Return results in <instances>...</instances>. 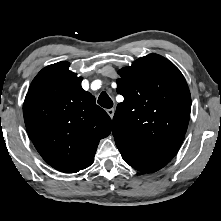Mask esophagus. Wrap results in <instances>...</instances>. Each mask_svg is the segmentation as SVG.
<instances>
[{"instance_id": "esophagus-1", "label": "esophagus", "mask_w": 221, "mask_h": 221, "mask_svg": "<svg viewBox=\"0 0 221 221\" xmlns=\"http://www.w3.org/2000/svg\"><path fill=\"white\" fill-rule=\"evenodd\" d=\"M107 114L111 117V118H113V116H114V113H115V110L114 109H107Z\"/></svg>"}]
</instances>
